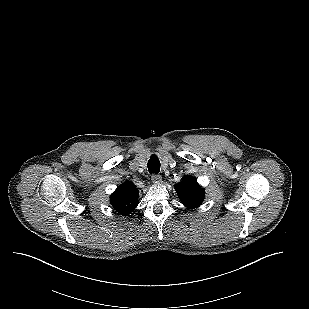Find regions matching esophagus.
Segmentation results:
<instances>
[{
	"label": "esophagus",
	"instance_id": "1",
	"mask_svg": "<svg viewBox=\"0 0 309 309\" xmlns=\"http://www.w3.org/2000/svg\"><path fill=\"white\" fill-rule=\"evenodd\" d=\"M151 180L154 184L162 183V177L160 175H157V174H153L152 177H151Z\"/></svg>",
	"mask_w": 309,
	"mask_h": 309
}]
</instances>
